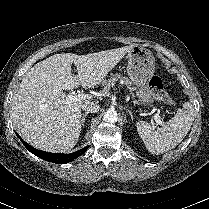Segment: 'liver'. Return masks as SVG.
I'll return each mask as SVG.
<instances>
[{
	"label": "liver",
	"mask_w": 209,
	"mask_h": 209,
	"mask_svg": "<svg viewBox=\"0 0 209 209\" xmlns=\"http://www.w3.org/2000/svg\"><path fill=\"white\" fill-rule=\"evenodd\" d=\"M132 48L55 54L35 64L23 77L11 104L12 120L22 138L47 152L71 150L81 132V107L88 101L68 103L63 90L99 85ZM72 63L78 71L75 76Z\"/></svg>",
	"instance_id": "1"
}]
</instances>
